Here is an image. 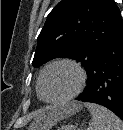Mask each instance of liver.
<instances>
[{
	"mask_svg": "<svg viewBox=\"0 0 123 130\" xmlns=\"http://www.w3.org/2000/svg\"><path fill=\"white\" fill-rule=\"evenodd\" d=\"M79 109L81 106L75 103H69L63 107L48 106L37 113L30 130H49L58 121L74 114Z\"/></svg>",
	"mask_w": 123,
	"mask_h": 130,
	"instance_id": "6515ba94",
	"label": "liver"
}]
</instances>
